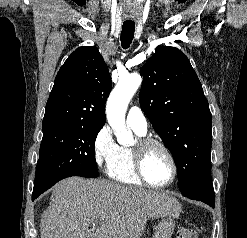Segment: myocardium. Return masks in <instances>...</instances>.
Instances as JSON below:
<instances>
[{"label": "myocardium", "instance_id": "f54148a6", "mask_svg": "<svg viewBox=\"0 0 247 238\" xmlns=\"http://www.w3.org/2000/svg\"><path fill=\"white\" fill-rule=\"evenodd\" d=\"M153 147L160 148L167 155L172 167V175L170 179L162 184L152 183L147 178L144 170V162L146 155L148 151ZM133 155H134V168L136 174L138 175L140 180L147 186L152 188H166L175 181L178 173L177 162L171 149L162 141L151 137H142L137 141V143L133 147Z\"/></svg>", "mask_w": 247, "mask_h": 238}]
</instances>
